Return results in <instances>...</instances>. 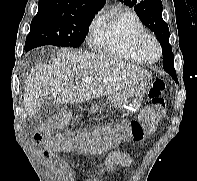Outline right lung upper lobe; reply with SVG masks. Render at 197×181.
<instances>
[{
    "instance_id": "obj_1",
    "label": "right lung upper lobe",
    "mask_w": 197,
    "mask_h": 181,
    "mask_svg": "<svg viewBox=\"0 0 197 181\" xmlns=\"http://www.w3.org/2000/svg\"><path fill=\"white\" fill-rule=\"evenodd\" d=\"M106 0H39V12H51L62 15H81L97 13Z\"/></svg>"
}]
</instances>
